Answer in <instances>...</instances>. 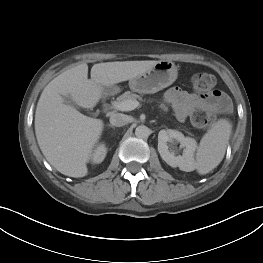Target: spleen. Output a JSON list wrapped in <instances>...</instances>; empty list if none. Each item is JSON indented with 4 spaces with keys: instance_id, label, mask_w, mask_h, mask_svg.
Returning <instances> with one entry per match:
<instances>
[{
    "instance_id": "spleen-1",
    "label": "spleen",
    "mask_w": 263,
    "mask_h": 263,
    "mask_svg": "<svg viewBox=\"0 0 263 263\" xmlns=\"http://www.w3.org/2000/svg\"><path fill=\"white\" fill-rule=\"evenodd\" d=\"M231 130V123L226 119H220L202 137L197 149L195 163L199 174L209 173L222 161Z\"/></svg>"
}]
</instances>
